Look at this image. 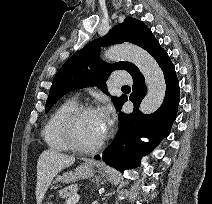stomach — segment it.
Listing matches in <instances>:
<instances>
[{
	"label": "stomach",
	"mask_w": 212,
	"mask_h": 204,
	"mask_svg": "<svg viewBox=\"0 0 212 204\" xmlns=\"http://www.w3.org/2000/svg\"><path fill=\"white\" fill-rule=\"evenodd\" d=\"M95 174V166L94 163L86 162L84 164L79 165L74 171L65 172L62 175H59L57 179L62 181L63 183L74 182L77 179H85L93 177ZM45 204H53L45 203Z\"/></svg>",
	"instance_id": "1"
}]
</instances>
